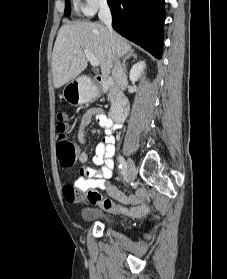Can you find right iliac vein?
I'll return each instance as SVG.
<instances>
[{
  "label": "right iliac vein",
  "instance_id": "obj_1",
  "mask_svg": "<svg viewBox=\"0 0 227 279\" xmlns=\"http://www.w3.org/2000/svg\"><path fill=\"white\" fill-rule=\"evenodd\" d=\"M127 167V178L129 181H132L136 175V167L132 159L128 158L126 162Z\"/></svg>",
  "mask_w": 227,
  "mask_h": 279
}]
</instances>
